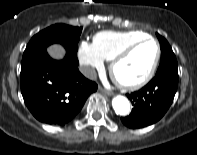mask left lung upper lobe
I'll return each mask as SVG.
<instances>
[{
	"mask_svg": "<svg viewBox=\"0 0 197 155\" xmlns=\"http://www.w3.org/2000/svg\"><path fill=\"white\" fill-rule=\"evenodd\" d=\"M157 37L160 42L161 61L156 75L163 72L178 73V64L172 48L164 37L159 34H157Z\"/></svg>",
	"mask_w": 197,
	"mask_h": 155,
	"instance_id": "obj_1",
	"label": "left lung upper lobe"
}]
</instances>
